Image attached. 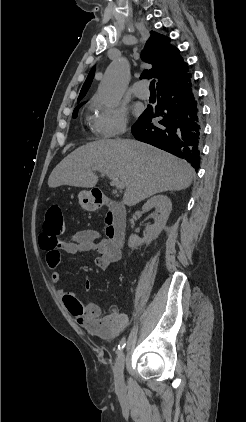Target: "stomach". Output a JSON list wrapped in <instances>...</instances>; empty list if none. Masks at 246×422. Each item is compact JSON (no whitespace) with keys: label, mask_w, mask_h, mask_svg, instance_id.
Returning <instances> with one entry per match:
<instances>
[{"label":"stomach","mask_w":246,"mask_h":422,"mask_svg":"<svg viewBox=\"0 0 246 422\" xmlns=\"http://www.w3.org/2000/svg\"><path fill=\"white\" fill-rule=\"evenodd\" d=\"M80 206L88 211L96 209V199L91 191H81L78 195Z\"/></svg>","instance_id":"obj_1"}]
</instances>
